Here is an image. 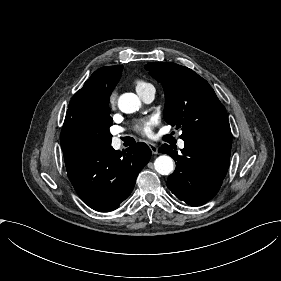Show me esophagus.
I'll use <instances>...</instances> for the list:
<instances>
[{"label":"esophagus","instance_id":"obj_1","mask_svg":"<svg viewBox=\"0 0 281 281\" xmlns=\"http://www.w3.org/2000/svg\"><path fill=\"white\" fill-rule=\"evenodd\" d=\"M148 146L150 147V149H151L153 154H157L158 153V147L155 144L148 143Z\"/></svg>","mask_w":281,"mask_h":281}]
</instances>
